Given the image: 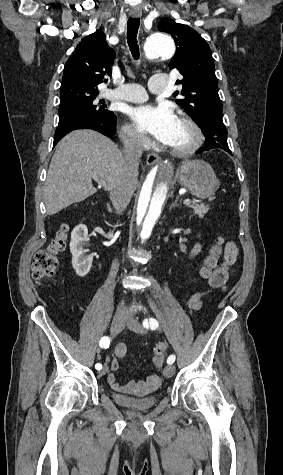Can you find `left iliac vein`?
<instances>
[{
	"label": "left iliac vein",
	"instance_id": "1",
	"mask_svg": "<svg viewBox=\"0 0 283 475\" xmlns=\"http://www.w3.org/2000/svg\"><path fill=\"white\" fill-rule=\"evenodd\" d=\"M127 327L137 333L146 334V329L144 326L135 318H133L130 314L127 315ZM175 366L172 364L167 365L164 368L163 374L165 378H170L174 375Z\"/></svg>",
	"mask_w": 283,
	"mask_h": 475
}]
</instances>
